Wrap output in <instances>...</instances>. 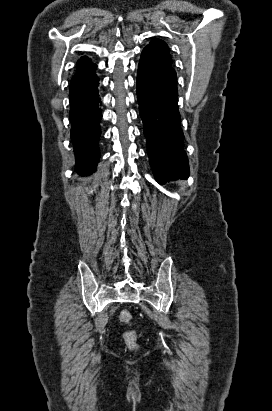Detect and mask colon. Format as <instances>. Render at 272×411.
<instances>
[{
	"label": "colon",
	"instance_id": "obj_1",
	"mask_svg": "<svg viewBox=\"0 0 272 411\" xmlns=\"http://www.w3.org/2000/svg\"><path fill=\"white\" fill-rule=\"evenodd\" d=\"M120 321L122 324L124 325H130L131 321H132V316L131 313L129 311H123L120 314ZM123 339L125 341V344L127 345V347L130 350H137L139 347L138 344V338H137V334L134 330H127L124 335H123Z\"/></svg>",
	"mask_w": 272,
	"mask_h": 411
}]
</instances>
